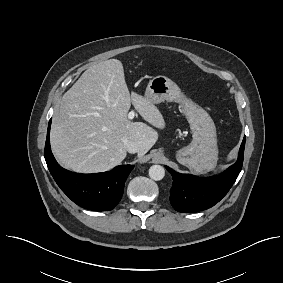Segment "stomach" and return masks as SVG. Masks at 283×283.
Returning a JSON list of instances; mask_svg holds the SVG:
<instances>
[{"instance_id": "1", "label": "stomach", "mask_w": 283, "mask_h": 283, "mask_svg": "<svg viewBox=\"0 0 283 283\" xmlns=\"http://www.w3.org/2000/svg\"><path fill=\"white\" fill-rule=\"evenodd\" d=\"M153 104L177 102L192 131L189 145L176 151L177 161L196 173L205 172L218 159L217 134L214 121L198 104L187 98L179 86L166 76L149 81L145 96Z\"/></svg>"}]
</instances>
